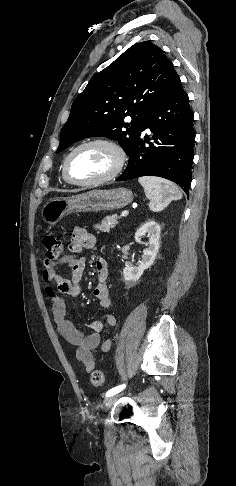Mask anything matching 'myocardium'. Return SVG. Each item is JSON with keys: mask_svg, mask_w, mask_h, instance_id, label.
Returning <instances> with one entry per match:
<instances>
[{"mask_svg": "<svg viewBox=\"0 0 236 486\" xmlns=\"http://www.w3.org/2000/svg\"><path fill=\"white\" fill-rule=\"evenodd\" d=\"M93 145H103V146H106L113 151V153L115 154V157H116V163H115L114 168L109 173H107L106 175H104L100 178H97V179H93V180H89V181L75 180L74 178H72V176L69 173V163H70L71 158L80 149L88 147V146H93ZM125 163H126L125 151L117 142H115L113 140H109V139L97 138V139H93V140L83 142V143L77 145L75 148H73L71 150V152L67 155V157L65 158L64 163H63V176H64V178L67 182H69L70 184H73V185H77V186L100 185V184L109 182V181L117 178L120 175V173L123 171Z\"/></svg>", "mask_w": 236, "mask_h": 486, "instance_id": "myocardium-1", "label": "myocardium"}]
</instances>
